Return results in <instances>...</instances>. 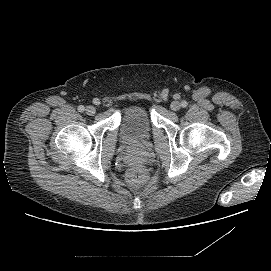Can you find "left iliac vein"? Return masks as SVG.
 <instances>
[{
    "instance_id": "4c4485c4",
    "label": "left iliac vein",
    "mask_w": 271,
    "mask_h": 271,
    "mask_svg": "<svg viewBox=\"0 0 271 271\" xmlns=\"http://www.w3.org/2000/svg\"><path fill=\"white\" fill-rule=\"evenodd\" d=\"M181 105L178 101H173L170 105V108L173 110V111H178L180 109Z\"/></svg>"
}]
</instances>
